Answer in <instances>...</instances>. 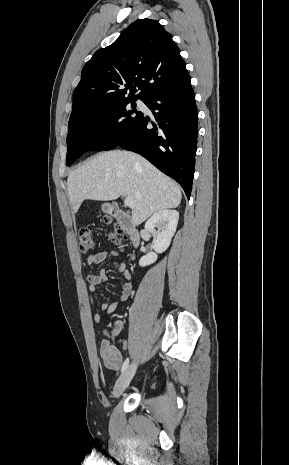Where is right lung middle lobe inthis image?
I'll list each match as a JSON object with an SVG mask.
<instances>
[{"mask_svg": "<svg viewBox=\"0 0 289 465\" xmlns=\"http://www.w3.org/2000/svg\"><path fill=\"white\" fill-rule=\"evenodd\" d=\"M136 100H103L83 105L77 121L68 130L67 164L71 165L85 151L115 148L143 115L135 109Z\"/></svg>", "mask_w": 289, "mask_h": 465, "instance_id": "right-lung-middle-lobe-1", "label": "right lung middle lobe"}]
</instances>
